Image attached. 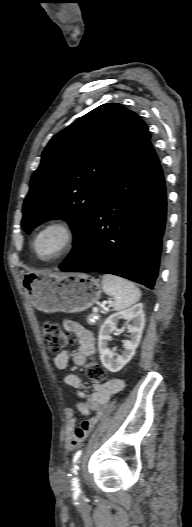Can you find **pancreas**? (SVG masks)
<instances>
[{
    "label": "pancreas",
    "instance_id": "pancreas-1",
    "mask_svg": "<svg viewBox=\"0 0 192 527\" xmlns=\"http://www.w3.org/2000/svg\"><path fill=\"white\" fill-rule=\"evenodd\" d=\"M96 316H97V313H95V312L89 314L88 317H87L88 324H90V325L96 324L99 321L98 319L95 318Z\"/></svg>",
    "mask_w": 192,
    "mask_h": 527
}]
</instances>
